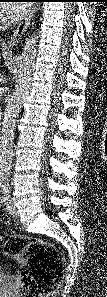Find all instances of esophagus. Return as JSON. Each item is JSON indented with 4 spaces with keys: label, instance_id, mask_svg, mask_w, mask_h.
<instances>
[{
    "label": "esophagus",
    "instance_id": "1",
    "mask_svg": "<svg viewBox=\"0 0 107 297\" xmlns=\"http://www.w3.org/2000/svg\"><path fill=\"white\" fill-rule=\"evenodd\" d=\"M37 9V6L35 4H33L31 6V10L30 12L28 13L27 17L25 18L24 21H22L19 26L17 27V29L14 31V33L11 35L9 41H8V45L9 46H13V45H16L21 37L23 36V34L25 33L28 25L30 24V21L35 13Z\"/></svg>",
    "mask_w": 107,
    "mask_h": 297
}]
</instances>
